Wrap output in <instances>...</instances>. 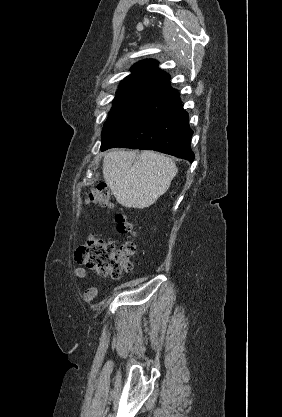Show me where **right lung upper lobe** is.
I'll list each match as a JSON object with an SVG mask.
<instances>
[{
	"label": "right lung upper lobe",
	"instance_id": "1",
	"mask_svg": "<svg viewBox=\"0 0 282 417\" xmlns=\"http://www.w3.org/2000/svg\"><path fill=\"white\" fill-rule=\"evenodd\" d=\"M155 60L146 59L139 61L132 68V74L121 83L117 93L144 92L162 94L169 88L170 76L157 67Z\"/></svg>",
	"mask_w": 282,
	"mask_h": 417
}]
</instances>
